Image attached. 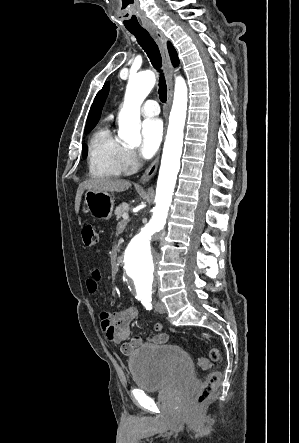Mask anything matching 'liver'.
Returning a JSON list of instances; mask_svg holds the SVG:
<instances>
[{
	"label": "liver",
	"instance_id": "liver-1",
	"mask_svg": "<svg viewBox=\"0 0 299 443\" xmlns=\"http://www.w3.org/2000/svg\"><path fill=\"white\" fill-rule=\"evenodd\" d=\"M130 187L131 183L127 180H122V179L97 178V179L86 180L82 182L77 189L75 197V211L78 214L81 198L85 190H92L95 192L118 193V192H124L128 190Z\"/></svg>",
	"mask_w": 299,
	"mask_h": 443
}]
</instances>
